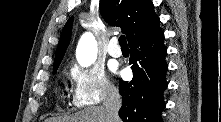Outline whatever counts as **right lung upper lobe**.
I'll return each instance as SVG.
<instances>
[{"instance_id": "obj_1", "label": "right lung upper lobe", "mask_w": 221, "mask_h": 122, "mask_svg": "<svg viewBox=\"0 0 221 122\" xmlns=\"http://www.w3.org/2000/svg\"><path fill=\"white\" fill-rule=\"evenodd\" d=\"M100 12L107 23L122 28L129 43L145 34L159 21L150 0H100ZM72 22L71 17L63 28L53 69L59 67L70 42Z\"/></svg>"}]
</instances>
